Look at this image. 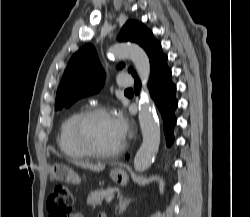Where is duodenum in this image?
Instances as JSON below:
<instances>
[{"label": "duodenum", "mask_w": 250, "mask_h": 217, "mask_svg": "<svg viewBox=\"0 0 250 217\" xmlns=\"http://www.w3.org/2000/svg\"><path fill=\"white\" fill-rule=\"evenodd\" d=\"M99 217H107V215L105 213H102L101 215H99Z\"/></svg>", "instance_id": "410a0bca"}]
</instances>
